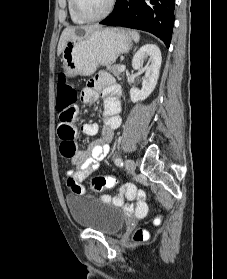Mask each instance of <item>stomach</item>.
I'll list each match as a JSON object with an SVG mask.
<instances>
[{
  "instance_id": "obj_1",
  "label": "stomach",
  "mask_w": 227,
  "mask_h": 279,
  "mask_svg": "<svg viewBox=\"0 0 227 279\" xmlns=\"http://www.w3.org/2000/svg\"><path fill=\"white\" fill-rule=\"evenodd\" d=\"M81 38L70 40L62 52L63 70L66 76L92 75L99 65H111L127 53L132 45L130 35L119 28H99Z\"/></svg>"
}]
</instances>
